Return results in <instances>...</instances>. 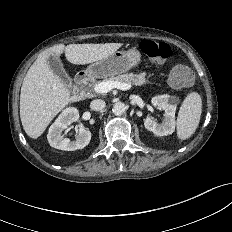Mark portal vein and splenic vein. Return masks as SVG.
Masks as SVG:
<instances>
[{
  "instance_id": "18ae733b",
  "label": "portal vein and splenic vein",
  "mask_w": 232,
  "mask_h": 232,
  "mask_svg": "<svg viewBox=\"0 0 232 232\" xmlns=\"http://www.w3.org/2000/svg\"><path fill=\"white\" fill-rule=\"evenodd\" d=\"M117 88L120 90H128L131 88V84L129 83H122L118 81H103L100 82L99 84L94 86V91L96 93H108L112 89Z\"/></svg>"
}]
</instances>
